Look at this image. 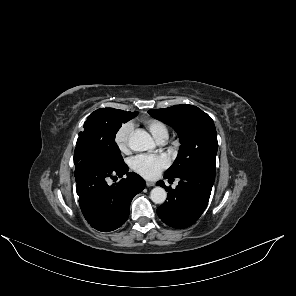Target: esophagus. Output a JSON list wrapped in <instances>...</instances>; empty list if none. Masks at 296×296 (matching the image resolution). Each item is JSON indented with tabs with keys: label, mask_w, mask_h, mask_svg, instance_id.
Wrapping results in <instances>:
<instances>
[{
	"label": "esophagus",
	"mask_w": 296,
	"mask_h": 296,
	"mask_svg": "<svg viewBox=\"0 0 296 296\" xmlns=\"http://www.w3.org/2000/svg\"><path fill=\"white\" fill-rule=\"evenodd\" d=\"M146 186L147 187L155 186V182H153V181H146Z\"/></svg>",
	"instance_id": "1"
}]
</instances>
